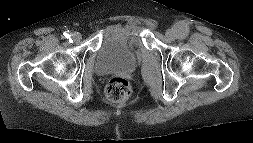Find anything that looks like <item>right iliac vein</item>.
Listing matches in <instances>:
<instances>
[{
    "label": "right iliac vein",
    "instance_id": "1",
    "mask_svg": "<svg viewBox=\"0 0 253 143\" xmlns=\"http://www.w3.org/2000/svg\"><path fill=\"white\" fill-rule=\"evenodd\" d=\"M72 39L75 41V42H79L81 39H82V35L79 33V32H74L72 34Z\"/></svg>",
    "mask_w": 253,
    "mask_h": 143
}]
</instances>
